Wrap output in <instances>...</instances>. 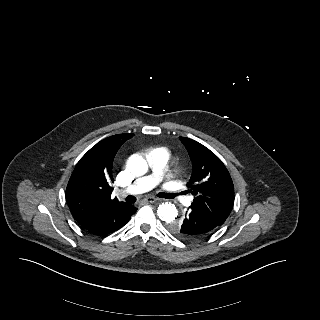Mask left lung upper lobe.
<instances>
[{
  "label": "left lung upper lobe",
  "instance_id": "1",
  "mask_svg": "<svg viewBox=\"0 0 320 320\" xmlns=\"http://www.w3.org/2000/svg\"><path fill=\"white\" fill-rule=\"evenodd\" d=\"M193 162V171L187 183L189 193L194 196L190 208L203 213L222 225L233 208L234 186L231 176L223 162L207 147L180 137ZM170 225V230L182 240H195L182 232L181 221Z\"/></svg>",
  "mask_w": 320,
  "mask_h": 320
}]
</instances>
